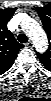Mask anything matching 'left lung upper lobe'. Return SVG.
I'll return each mask as SVG.
<instances>
[{"mask_svg":"<svg viewBox=\"0 0 51 101\" xmlns=\"http://www.w3.org/2000/svg\"><path fill=\"white\" fill-rule=\"evenodd\" d=\"M38 15L42 20L48 38L51 39V4L38 8ZM37 56L39 60L41 59L44 62V65H51V47L43 54L37 53Z\"/></svg>","mask_w":51,"mask_h":101,"instance_id":"left-lung-upper-lobe-1","label":"left lung upper lobe"}]
</instances>
